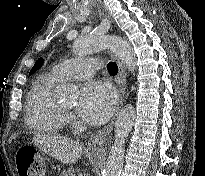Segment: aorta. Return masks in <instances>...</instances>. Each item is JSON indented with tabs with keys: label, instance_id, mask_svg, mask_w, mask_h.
<instances>
[{
	"label": "aorta",
	"instance_id": "aorta-1",
	"mask_svg": "<svg viewBox=\"0 0 205 176\" xmlns=\"http://www.w3.org/2000/svg\"><path fill=\"white\" fill-rule=\"evenodd\" d=\"M107 48L111 49L131 72L135 70V54L129 42L122 37L115 35L97 36L93 34L77 39L72 46L73 53L78 56H84ZM61 95L74 97L76 89L69 84L63 85L61 87ZM135 117L136 113L132 105H126L119 113L115 122L114 144L110 150L103 176H120L123 167L125 141L132 130Z\"/></svg>",
	"mask_w": 205,
	"mask_h": 176
}]
</instances>
